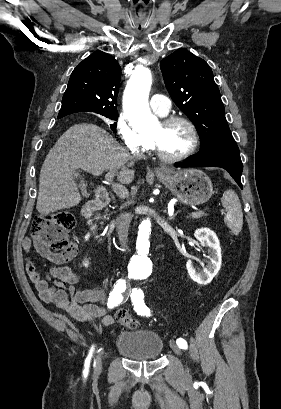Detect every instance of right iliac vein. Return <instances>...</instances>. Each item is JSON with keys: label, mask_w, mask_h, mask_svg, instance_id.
<instances>
[{"label": "right iliac vein", "mask_w": 281, "mask_h": 409, "mask_svg": "<svg viewBox=\"0 0 281 409\" xmlns=\"http://www.w3.org/2000/svg\"><path fill=\"white\" fill-rule=\"evenodd\" d=\"M101 369V358H98V363H97V370L99 371Z\"/></svg>", "instance_id": "obj_1"}]
</instances>
